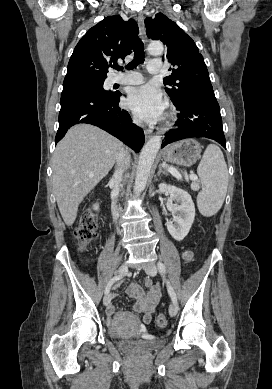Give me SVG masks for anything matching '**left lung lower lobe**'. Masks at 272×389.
<instances>
[{"mask_svg": "<svg viewBox=\"0 0 272 389\" xmlns=\"http://www.w3.org/2000/svg\"><path fill=\"white\" fill-rule=\"evenodd\" d=\"M176 107L180 111L176 122L178 128L165 134L161 148L191 137L213 139L226 148L220 107L213 90L191 94Z\"/></svg>", "mask_w": 272, "mask_h": 389, "instance_id": "obj_1", "label": "left lung lower lobe"}]
</instances>
